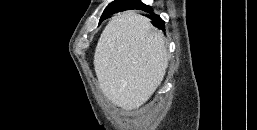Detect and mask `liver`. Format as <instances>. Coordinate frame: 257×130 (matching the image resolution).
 I'll use <instances>...</instances> for the list:
<instances>
[{
	"label": "liver",
	"instance_id": "1",
	"mask_svg": "<svg viewBox=\"0 0 257 130\" xmlns=\"http://www.w3.org/2000/svg\"><path fill=\"white\" fill-rule=\"evenodd\" d=\"M169 55L161 31L135 11L112 17L94 54L100 89L113 104L134 110L143 105L161 84Z\"/></svg>",
	"mask_w": 257,
	"mask_h": 130
}]
</instances>
